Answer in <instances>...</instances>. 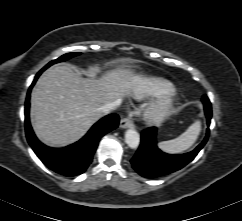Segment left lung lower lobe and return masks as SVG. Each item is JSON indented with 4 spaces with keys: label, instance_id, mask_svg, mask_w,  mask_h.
Returning <instances> with one entry per match:
<instances>
[{
    "label": "left lung lower lobe",
    "instance_id": "left-lung-lower-lobe-1",
    "mask_svg": "<svg viewBox=\"0 0 242 221\" xmlns=\"http://www.w3.org/2000/svg\"><path fill=\"white\" fill-rule=\"evenodd\" d=\"M207 125L212 117L211 103L206 95L202 98ZM157 128L145 129L141 134V144L131 159L134 170L146 178H155L175 172L191 162L203 148L209 137V128L202 141L193 151L181 155H170L158 149L156 144Z\"/></svg>",
    "mask_w": 242,
    "mask_h": 221
}]
</instances>
